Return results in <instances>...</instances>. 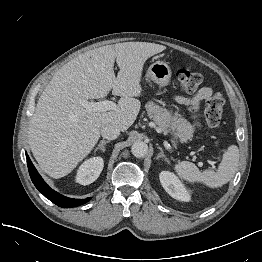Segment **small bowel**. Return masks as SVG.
Instances as JSON below:
<instances>
[{
    "label": "small bowel",
    "instance_id": "1",
    "mask_svg": "<svg viewBox=\"0 0 262 262\" xmlns=\"http://www.w3.org/2000/svg\"><path fill=\"white\" fill-rule=\"evenodd\" d=\"M213 94V90L210 87H202L193 96L189 98L178 97V101L186 105H198L202 101L208 99Z\"/></svg>",
    "mask_w": 262,
    "mask_h": 262
}]
</instances>
